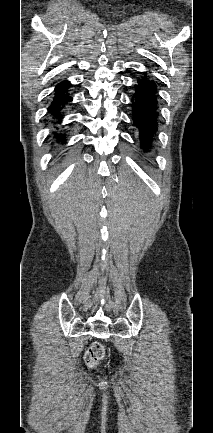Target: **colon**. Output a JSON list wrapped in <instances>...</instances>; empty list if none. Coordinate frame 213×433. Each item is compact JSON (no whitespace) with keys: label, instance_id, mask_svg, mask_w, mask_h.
<instances>
[{"label":"colon","instance_id":"obj_1","mask_svg":"<svg viewBox=\"0 0 213 433\" xmlns=\"http://www.w3.org/2000/svg\"><path fill=\"white\" fill-rule=\"evenodd\" d=\"M104 355V346L99 342H95L85 352V363L89 367H95L103 359Z\"/></svg>","mask_w":213,"mask_h":433}]
</instances>
